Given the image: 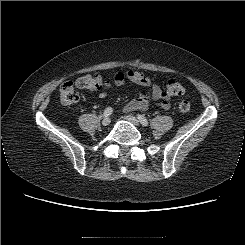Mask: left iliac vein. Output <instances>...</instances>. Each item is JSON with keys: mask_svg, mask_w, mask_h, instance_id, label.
I'll use <instances>...</instances> for the list:
<instances>
[{"mask_svg": "<svg viewBox=\"0 0 245 245\" xmlns=\"http://www.w3.org/2000/svg\"><path fill=\"white\" fill-rule=\"evenodd\" d=\"M124 118L127 121H129L130 123H132L133 125H135V126H139L140 125L139 120L136 117L132 116V115H125Z\"/></svg>", "mask_w": 245, "mask_h": 245, "instance_id": "4c4485c4", "label": "left iliac vein"}]
</instances>
